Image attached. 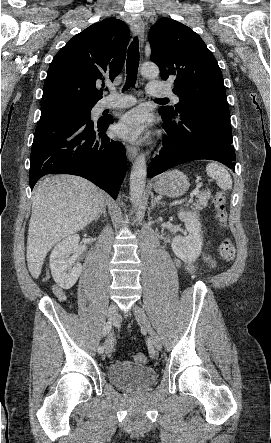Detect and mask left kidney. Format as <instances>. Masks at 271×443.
<instances>
[{"mask_svg": "<svg viewBox=\"0 0 271 443\" xmlns=\"http://www.w3.org/2000/svg\"><path fill=\"white\" fill-rule=\"evenodd\" d=\"M179 220L185 222L189 235H176L173 237L171 247L182 261L193 263L199 257L203 245L201 223L194 212H179Z\"/></svg>", "mask_w": 271, "mask_h": 443, "instance_id": "5707ae66", "label": "left kidney"}]
</instances>
